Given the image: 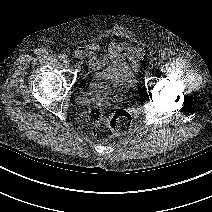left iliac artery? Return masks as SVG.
I'll list each match as a JSON object with an SVG mask.
<instances>
[{
  "mask_svg": "<svg viewBox=\"0 0 212 212\" xmlns=\"http://www.w3.org/2000/svg\"><path fill=\"white\" fill-rule=\"evenodd\" d=\"M152 68H154V69L158 68V64H153Z\"/></svg>",
  "mask_w": 212,
  "mask_h": 212,
  "instance_id": "left-iliac-artery-1",
  "label": "left iliac artery"
}]
</instances>
